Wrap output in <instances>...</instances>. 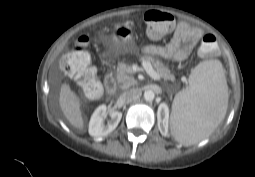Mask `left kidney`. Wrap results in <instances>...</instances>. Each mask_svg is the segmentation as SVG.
<instances>
[{"label":"left kidney","mask_w":255,"mask_h":177,"mask_svg":"<svg viewBox=\"0 0 255 177\" xmlns=\"http://www.w3.org/2000/svg\"><path fill=\"white\" fill-rule=\"evenodd\" d=\"M158 124L161 127L160 129L163 130V133H167L168 129V119H169V108L165 103L160 104L158 111Z\"/></svg>","instance_id":"5707ae66"}]
</instances>
